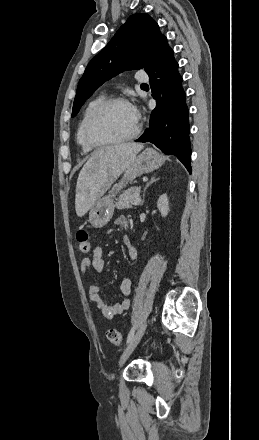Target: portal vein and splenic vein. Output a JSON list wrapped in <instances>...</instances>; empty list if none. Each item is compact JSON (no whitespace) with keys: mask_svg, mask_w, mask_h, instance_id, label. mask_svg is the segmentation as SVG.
Returning a JSON list of instances; mask_svg holds the SVG:
<instances>
[{"mask_svg":"<svg viewBox=\"0 0 259 440\" xmlns=\"http://www.w3.org/2000/svg\"><path fill=\"white\" fill-rule=\"evenodd\" d=\"M141 202L139 195H137L136 199L133 201V205L137 206Z\"/></svg>","mask_w":259,"mask_h":440,"instance_id":"obj_1","label":"portal vein and splenic vein"}]
</instances>
